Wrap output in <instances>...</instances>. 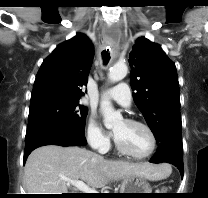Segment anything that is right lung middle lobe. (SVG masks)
I'll use <instances>...</instances> for the list:
<instances>
[{"instance_id": "1", "label": "right lung middle lobe", "mask_w": 208, "mask_h": 198, "mask_svg": "<svg viewBox=\"0 0 208 198\" xmlns=\"http://www.w3.org/2000/svg\"><path fill=\"white\" fill-rule=\"evenodd\" d=\"M88 109L75 100L51 101L30 107L27 131L46 125H63L84 135Z\"/></svg>"}]
</instances>
